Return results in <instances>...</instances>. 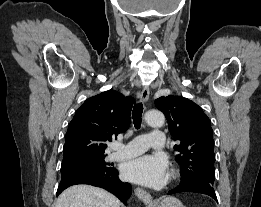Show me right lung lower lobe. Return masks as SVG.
<instances>
[{"label": "right lung lower lobe", "mask_w": 261, "mask_h": 207, "mask_svg": "<svg viewBox=\"0 0 261 207\" xmlns=\"http://www.w3.org/2000/svg\"><path fill=\"white\" fill-rule=\"evenodd\" d=\"M76 184H89L106 189L116 195L125 205H127V200L132 192L131 185L120 181L117 169L111 168L102 171H80L62 175L57 196L67 187Z\"/></svg>", "instance_id": "98d812e1"}]
</instances>
